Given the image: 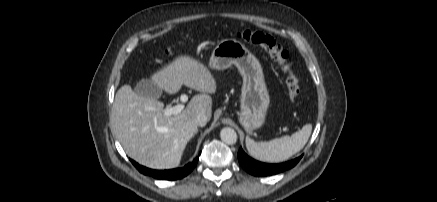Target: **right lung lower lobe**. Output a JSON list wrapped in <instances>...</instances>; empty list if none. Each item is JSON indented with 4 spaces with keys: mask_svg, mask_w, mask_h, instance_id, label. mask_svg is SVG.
I'll return each mask as SVG.
<instances>
[{
    "mask_svg": "<svg viewBox=\"0 0 437 202\" xmlns=\"http://www.w3.org/2000/svg\"><path fill=\"white\" fill-rule=\"evenodd\" d=\"M132 164L144 175L152 176L156 179L164 180H176L187 176L197 165L198 157H196L193 162L188 163L182 168L171 169V170H153L139 165L135 161L131 160Z\"/></svg>",
    "mask_w": 437,
    "mask_h": 202,
    "instance_id": "1",
    "label": "right lung lower lobe"
}]
</instances>
